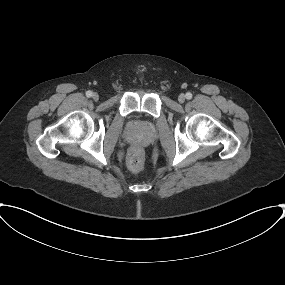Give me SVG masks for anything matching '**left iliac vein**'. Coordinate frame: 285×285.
Returning <instances> with one entry per match:
<instances>
[{
  "mask_svg": "<svg viewBox=\"0 0 285 285\" xmlns=\"http://www.w3.org/2000/svg\"><path fill=\"white\" fill-rule=\"evenodd\" d=\"M185 95L184 94H180L179 95V97H178V101L180 102V103H183L184 101H185Z\"/></svg>",
  "mask_w": 285,
  "mask_h": 285,
  "instance_id": "1",
  "label": "left iliac vein"
}]
</instances>
